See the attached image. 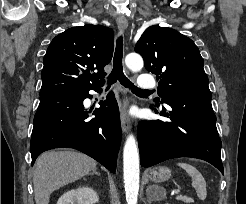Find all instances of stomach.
<instances>
[{
    "label": "stomach",
    "instance_id": "1",
    "mask_svg": "<svg viewBox=\"0 0 246 204\" xmlns=\"http://www.w3.org/2000/svg\"><path fill=\"white\" fill-rule=\"evenodd\" d=\"M171 177V170L165 166H158L150 170L149 178L155 183L167 181Z\"/></svg>",
    "mask_w": 246,
    "mask_h": 204
}]
</instances>
